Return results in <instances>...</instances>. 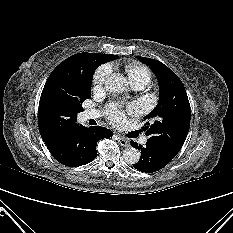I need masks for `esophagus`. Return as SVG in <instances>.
Returning a JSON list of instances; mask_svg holds the SVG:
<instances>
[{"mask_svg": "<svg viewBox=\"0 0 233 233\" xmlns=\"http://www.w3.org/2000/svg\"><path fill=\"white\" fill-rule=\"evenodd\" d=\"M118 141L123 147H130V142L127 138L123 136H118Z\"/></svg>", "mask_w": 233, "mask_h": 233, "instance_id": "esophagus-1", "label": "esophagus"}]
</instances>
